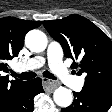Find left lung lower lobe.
Returning a JSON list of instances; mask_svg holds the SVG:
<instances>
[{"instance_id":"left-lung-lower-lobe-1","label":"left lung lower lobe","mask_w":112,"mask_h":112,"mask_svg":"<svg viewBox=\"0 0 112 112\" xmlns=\"http://www.w3.org/2000/svg\"><path fill=\"white\" fill-rule=\"evenodd\" d=\"M73 94L72 105L63 108L61 112H107L112 105V93L82 89Z\"/></svg>"}]
</instances>
